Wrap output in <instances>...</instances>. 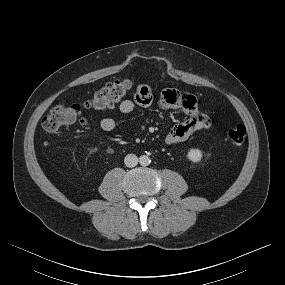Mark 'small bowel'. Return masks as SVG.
<instances>
[{"label": "small bowel", "mask_w": 285, "mask_h": 285, "mask_svg": "<svg viewBox=\"0 0 285 285\" xmlns=\"http://www.w3.org/2000/svg\"><path fill=\"white\" fill-rule=\"evenodd\" d=\"M153 102V94L149 86L140 84L135 90L134 99H125L120 102L119 110L124 114L133 112L136 106L147 108ZM159 104L164 109H182L187 119L174 125L166 136L168 144L183 142L198 130L209 128L212 124L210 116L198 110L196 98L189 93H182L174 89H165L159 96ZM101 128L110 132L116 128V121L104 118Z\"/></svg>", "instance_id": "c3829d8e"}]
</instances>
